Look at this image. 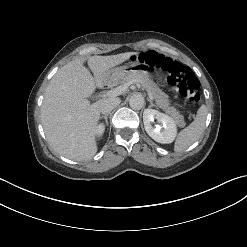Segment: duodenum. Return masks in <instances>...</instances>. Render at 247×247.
<instances>
[{"mask_svg":"<svg viewBox=\"0 0 247 247\" xmlns=\"http://www.w3.org/2000/svg\"><path fill=\"white\" fill-rule=\"evenodd\" d=\"M99 87H102L103 85L102 84H98Z\"/></svg>","mask_w":247,"mask_h":247,"instance_id":"1","label":"duodenum"}]
</instances>
